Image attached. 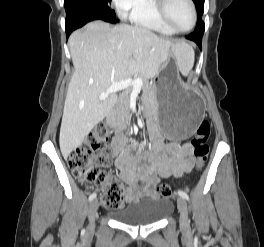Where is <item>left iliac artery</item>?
I'll list each match as a JSON object with an SVG mask.
<instances>
[{"mask_svg": "<svg viewBox=\"0 0 264 247\" xmlns=\"http://www.w3.org/2000/svg\"><path fill=\"white\" fill-rule=\"evenodd\" d=\"M178 194L186 200H189V196L186 192L179 190Z\"/></svg>", "mask_w": 264, "mask_h": 247, "instance_id": "left-iliac-artery-1", "label": "left iliac artery"}]
</instances>
